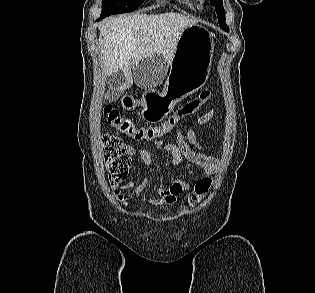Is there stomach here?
I'll return each instance as SVG.
<instances>
[{
	"label": "stomach",
	"mask_w": 315,
	"mask_h": 293,
	"mask_svg": "<svg viewBox=\"0 0 315 293\" xmlns=\"http://www.w3.org/2000/svg\"><path fill=\"white\" fill-rule=\"evenodd\" d=\"M214 45L213 33L203 26L194 24L181 32L163 91L145 93L142 100V116L145 120L161 121L174 109L176 103L195 93L206 83L212 65ZM140 102V96L126 93L122 106L130 110Z\"/></svg>",
	"instance_id": "obj_1"
}]
</instances>
